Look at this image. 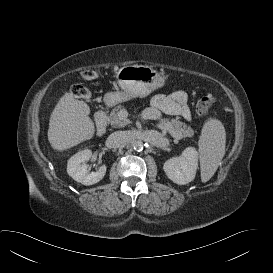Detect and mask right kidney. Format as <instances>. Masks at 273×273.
Returning a JSON list of instances; mask_svg holds the SVG:
<instances>
[{"mask_svg": "<svg viewBox=\"0 0 273 273\" xmlns=\"http://www.w3.org/2000/svg\"><path fill=\"white\" fill-rule=\"evenodd\" d=\"M92 156V152L89 149L82 150L73 155L67 163V172L76 182L83 185H93L105 176L106 166L102 165L96 172L87 170L88 165L85 163L89 161Z\"/></svg>", "mask_w": 273, "mask_h": 273, "instance_id": "ca27d5eb", "label": "right kidney"}]
</instances>
